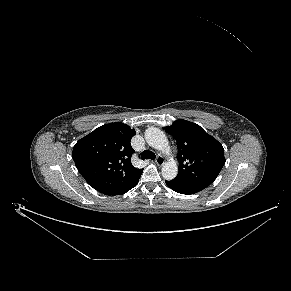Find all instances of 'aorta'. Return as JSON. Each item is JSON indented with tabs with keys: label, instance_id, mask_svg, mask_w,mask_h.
I'll return each mask as SVG.
<instances>
[{
	"label": "aorta",
	"instance_id": "obj_1",
	"mask_svg": "<svg viewBox=\"0 0 291 291\" xmlns=\"http://www.w3.org/2000/svg\"><path fill=\"white\" fill-rule=\"evenodd\" d=\"M147 144L162 153L169 155L171 148L165 133L156 127H149L145 131ZM162 176L166 180H173L178 174V166L174 159H169L163 164Z\"/></svg>",
	"mask_w": 291,
	"mask_h": 291
}]
</instances>
